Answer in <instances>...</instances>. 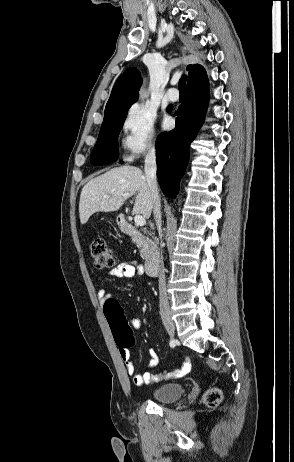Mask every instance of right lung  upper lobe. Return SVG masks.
<instances>
[{
  "instance_id": "right-lung-upper-lobe-1",
  "label": "right lung upper lobe",
  "mask_w": 294,
  "mask_h": 462,
  "mask_svg": "<svg viewBox=\"0 0 294 462\" xmlns=\"http://www.w3.org/2000/svg\"><path fill=\"white\" fill-rule=\"evenodd\" d=\"M187 70L189 71L187 84L206 73L205 69L199 64L189 65ZM141 83V75L136 68L125 70L112 89L105 108L104 118L128 111L130 106L138 99V89Z\"/></svg>"
}]
</instances>
